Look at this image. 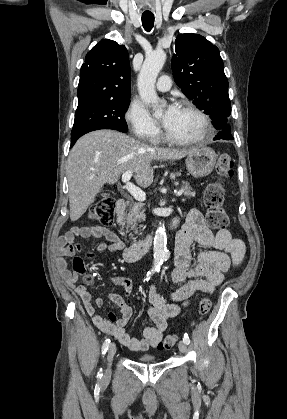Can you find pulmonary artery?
Masks as SVG:
<instances>
[{
	"label": "pulmonary artery",
	"mask_w": 287,
	"mask_h": 419,
	"mask_svg": "<svg viewBox=\"0 0 287 419\" xmlns=\"http://www.w3.org/2000/svg\"><path fill=\"white\" fill-rule=\"evenodd\" d=\"M171 88V78L168 75L160 76L158 82L156 83V89L159 91H168Z\"/></svg>",
	"instance_id": "1"
}]
</instances>
